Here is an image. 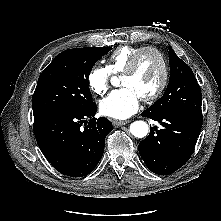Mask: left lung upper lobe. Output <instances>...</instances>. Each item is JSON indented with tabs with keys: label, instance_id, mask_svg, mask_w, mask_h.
I'll list each match as a JSON object with an SVG mask.
<instances>
[{
	"label": "left lung upper lobe",
	"instance_id": "5c2ea615",
	"mask_svg": "<svg viewBox=\"0 0 221 221\" xmlns=\"http://www.w3.org/2000/svg\"><path fill=\"white\" fill-rule=\"evenodd\" d=\"M170 80L164 95L146 109L153 115L201 113L202 94L190 67L169 47Z\"/></svg>",
	"mask_w": 221,
	"mask_h": 221
}]
</instances>
